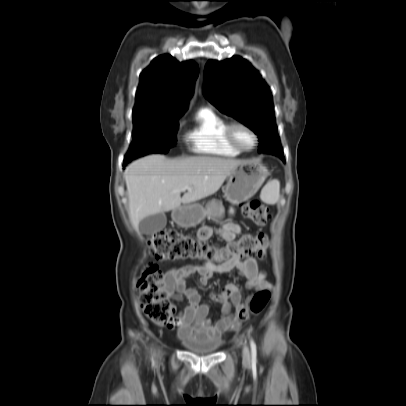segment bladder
<instances>
[{"mask_svg": "<svg viewBox=\"0 0 406 406\" xmlns=\"http://www.w3.org/2000/svg\"><path fill=\"white\" fill-rule=\"evenodd\" d=\"M181 343L186 351L197 355H208L216 352L220 343L212 340H200L195 338H181Z\"/></svg>", "mask_w": 406, "mask_h": 406, "instance_id": "obj_1", "label": "bladder"}]
</instances>
